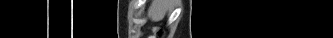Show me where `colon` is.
<instances>
[{
    "label": "colon",
    "mask_w": 333,
    "mask_h": 38,
    "mask_svg": "<svg viewBox=\"0 0 333 38\" xmlns=\"http://www.w3.org/2000/svg\"><path fill=\"white\" fill-rule=\"evenodd\" d=\"M156 35H157L158 37H161V36L163 35V32H162V31H156Z\"/></svg>",
    "instance_id": "5ec220e1"
}]
</instances>
